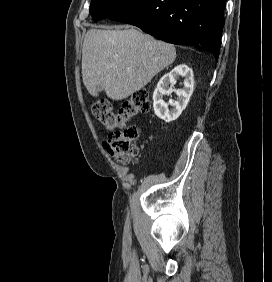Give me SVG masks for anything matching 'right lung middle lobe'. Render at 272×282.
<instances>
[{"label": "right lung middle lobe", "mask_w": 272, "mask_h": 282, "mask_svg": "<svg viewBox=\"0 0 272 282\" xmlns=\"http://www.w3.org/2000/svg\"><path fill=\"white\" fill-rule=\"evenodd\" d=\"M137 0H92L90 14L94 22L110 18L113 14L131 5Z\"/></svg>", "instance_id": "dd1d6c3e"}]
</instances>
